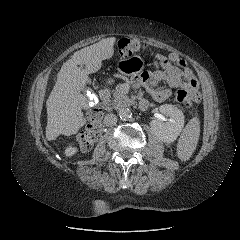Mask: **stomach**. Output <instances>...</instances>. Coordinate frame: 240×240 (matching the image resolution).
I'll list each match as a JSON object with an SVG mask.
<instances>
[{"instance_id":"obj_1","label":"stomach","mask_w":240,"mask_h":240,"mask_svg":"<svg viewBox=\"0 0 240 240\" xmlns=\"http://www.w3.org/2000/svg\"><path fill=\"white\" fill-rule=\"evenodd\" d=\"M144 69V60L137 55L121 59L118 62V71L124 75H133Z\"/></svg>"}]
</instances>
